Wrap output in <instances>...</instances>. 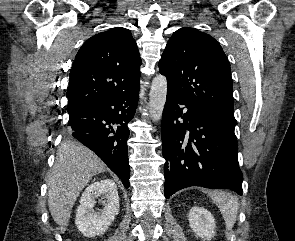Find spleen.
Instances as JSON below:
<instances>
[{"mask_svg": "<svg viewBox=\"0 0 295 241\" xmlns=\"http://www.w3.org/2000/svg\"><path fill=\"white\" fill-rule=\"evenodd\" d=\"M208 195L220 209V212L225 220L227 230H232L236 222L239 209L237 198L231 193L222 190L211 191Z\"/></svg>", "mask_w": 295, "mask_h": 241, "instance_id": "3e777b00", "label": "spleen"}]
</instances>
